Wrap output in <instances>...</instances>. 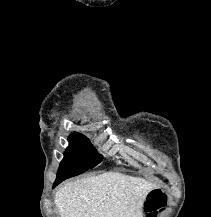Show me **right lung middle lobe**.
<instances>
[{
    "label": "right lung middle lobe",
    "instance_id": "dd1d6c3e",
    "mask_svg": "<svg viewBox=\"0 0 211 217\" xmlns=\"http://www.w3.org/2000/svg\"><path fill=\"white\" fill-rule=\"evenodd\" d=\"M69 147L60 162L56 180L79 175L99 164L103 157L96 153L90 141L82 134L74 133L68 138Z\"/></svg>",
    "mask_w": 211,
    "mask_h": 217
}]
</instances>
